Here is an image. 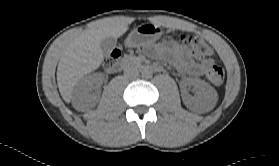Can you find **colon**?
Returning <instances> with one entry per match:
<instances>
[{"label":"colon","instance_id":"1","mask_svg":"<svg viewBox=\"0 0 279 166\" xmlns=\"http://www.w3.org/2000/svg\"><path fill=\"white\" fill-rule=\"evenodd\" d=\"M180 41L184 44H187L193 53V55L197 59H201L209 54H211L210 47L206 44L205 41H203L201 38H198L196 36H190V35H181L179 37ZM120 56V50L115 49L113 50L104 61V65L106 67L112 66L115 61ZM206 78L214 85H220L224 81L225 72L224 69L218 65L211 64L206 69Z\"/></svg>","mask_w":279,"mask_h":166}]
</instances>
